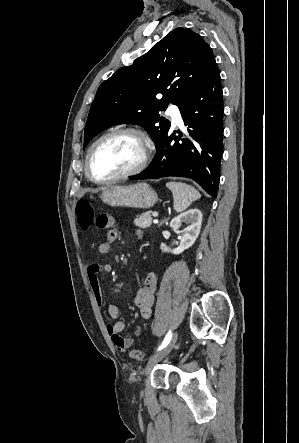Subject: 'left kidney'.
<instances>
[{
	"label": "left kidney",
	"mask_w": 299,
	"mask_h": 443,
	"mask_svg": "<svg viewBox=\"0 0 299 443\" xmlns=\"http://www.w3.org/2000/svg\"><path fill=\"white\" fill-rule=\"evenodd\" d=\"M187 224L186 231L180 236V244L175 249H170L166 244L161 243L163 252H171L173 254H181L184 250L190 248L199 236L202 224V213L199 209H190L179 214L170 222V227L177 230L181 225Z\"/></svg>",
	"instance_id": "left-kidney-1"
}]
</instances>
